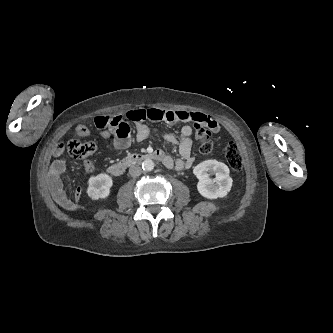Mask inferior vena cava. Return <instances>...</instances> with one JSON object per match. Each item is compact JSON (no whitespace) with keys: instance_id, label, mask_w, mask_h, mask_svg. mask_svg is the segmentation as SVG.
Instances as JSON below:
<instances>
[{"instance_id":"obj_1","label":"inferior vena cava","mask_w":333,"mask_h":333,"mask_svg":"<svg viewBox=\"0 0 333 333\" xmlns=\"http://www.w3.org/2000/svg\"><path fill=\"white\" fill-rule=\"evenodd\" d=\"M141 172H142V169L140 166L138 165H133L129 168V174L132 176V177H138L141 175Z\"/></svg>"}]
</instances>
